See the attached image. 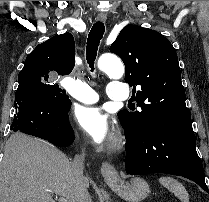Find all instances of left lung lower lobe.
Instances as JSON below:
<instances>
[{
	"label": "left lung lower lobe",
	"instance_id": "1",
	"mask_svg": "<svg viewBox=\"0 0 209 202\" xmlns=\"http://www.w3.org/2000/svg\"><path fill=\"white\" fill-rule=\"evenodd\" d=\"M126 172L131 175L167 173L196 182L209 193L202 162L196 152L191 120L155 119L144 134L124 130Z\"/></svg>",
	"mask_w": 209,
	"mask_h": 202
}]
</instances>
